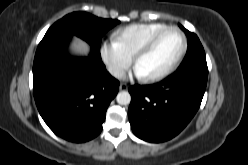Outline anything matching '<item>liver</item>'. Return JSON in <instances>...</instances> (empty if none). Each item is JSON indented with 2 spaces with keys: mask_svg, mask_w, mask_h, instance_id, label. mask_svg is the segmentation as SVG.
Segmentation results:
<instances>
[{
  "mask_svg": "<svg viewBox=\"0 0 248 165\" xmlns=\"http://www.w3.org/2000/svg\"><path fill=\"white\" fill-rule=\"evenodd\" d=\"M69 52L73 56H87L90 52V46L80 38H72Z\"/></svg>",
  "mask_w": 248,
  "mask_h": 165,
  "instance_id": "liver-1",
  "label": "liver"
}]
</instances>
